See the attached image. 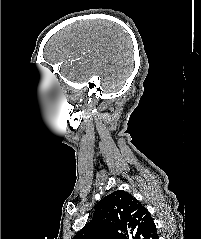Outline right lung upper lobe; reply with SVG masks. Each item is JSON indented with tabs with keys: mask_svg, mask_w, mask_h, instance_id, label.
I'll return each mask as SVG.
<instances>
[{
	"mask_svg": "<svg viewBox=\"0 0 201 239\" xmlns=\"http://www.w3.org/2000/svg\"><path fill=\"white\" fill-rule=\"evenodd\" d=\"M148 210L128 192L117 190L95 206L93 219L73 239H155Z\"/></svg>",
	"mask_w": 201,
	"mask_h": 239,
	"instance_id": "right-lung-upper-lobe-1",
	"label": "right lung upper lobe"
}]
</instances>
